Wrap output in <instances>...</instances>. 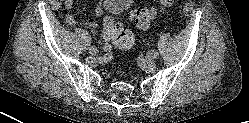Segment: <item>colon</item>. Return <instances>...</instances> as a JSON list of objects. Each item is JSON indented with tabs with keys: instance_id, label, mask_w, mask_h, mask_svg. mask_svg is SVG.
I'll return each mask as SVG.
<instances>
[{
	"instance_id": "1",
	"label": "colon",
	"mask_w": 249,
	"mask_h": 123,
	"mask_svg": "<svg viewBox=\"0 0 249 123\" xmlns=\"http://www.w3.org/2000/svg\"><path fill=\"white\" fill-rule=\"evenodd\" d=\"M159 1L160 7L157 9L146 7L134 9L130 13V21L139 29H147L150 23L155 18L163 15L167 8H169L174 2V0ZM103 35L105 38L110 40L116 48L121 50L130 49L134 42L133 34L112 18H105L103 20Z\"/></svg>"
}]
</instances>
